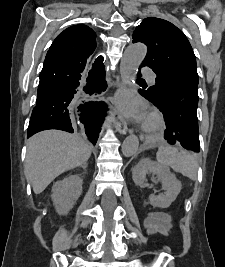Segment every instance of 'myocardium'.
I'll list each match as a JSON object with an SVG mask.
<instances>
[{"label": "myocardium", "mask_w": 225, "mask_h": 267, "mask_svg": "<svg viewBox=\"0 0 225 267\" xmlns=\"http://www.w3.org/2000/svg\"><path fill=\"white\" fill-rule=\"evenodd\" d=\"M165 125L163 116L158 111L149 112L142 129L147 133H157L163 130Z\"/></svg>", "instance_id": "1"}]
</instances>
